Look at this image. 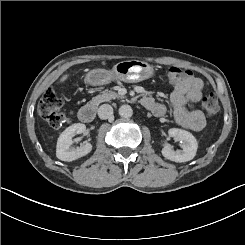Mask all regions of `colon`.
<instances>
[{
  "label": "colon",
  "mask_w": 245,
  "mask_h": 245,
  "mask_svg": "<svg viewBox=\"0 0 245 245\" xmlns=\"http://www.w3.org/2000/svg\"><path fill=\"white\" fill-rule=\"evenodd\" d=\"M191 72L172 66L167 70V78L171 84H177L189 78ZM64 96L54 88L48 89L38 104L39 116L53 128L61 127L65 122V116L60 111ZM202 107L209 115H215L219 111V101L213 94L206 96L202 101Z\"/></svg>",
  "instance_id": "5ec220e1"
}]
</instances>
